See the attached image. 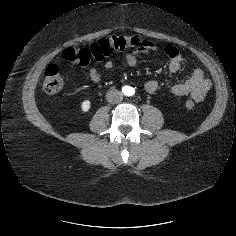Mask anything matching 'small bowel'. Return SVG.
Masks as SVG:
<instances>
[{
    "instance_id": "obj_1",
    "label": "small bowel",
    "mask_w": 236,
    "mask_h": 236,
    "mask_svg": "<svg viewBox=\"0 0 236 236\" xmlns=\"http://www.w3.org/2000/svg\"><path fill=\"white\" fill-rule=\"evenodd\" d=\"M156 46L151 41H143L138 51H127L124 54L125 63L129 66H134L137 63L138 56L141 53H150L156 51ZM165 55L169 58L168 72L170 74L177 73L184 64L185 58L182 53L174 46H167L164 49ZM114 67V61L107 59L104 62V68L111 70ZM85 79L94 83H98L102 79V72L95 67H90ZM145 90L148 93H154L158 88L156 80H148L145 85ZM170 90L178 96L190 95L195 102H201L212 87L211 81L205 76L201 68H195L191 76L182 83L170 82Z\"/></svg>"
}]
</instances>
